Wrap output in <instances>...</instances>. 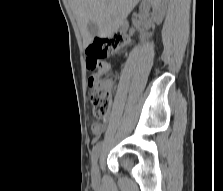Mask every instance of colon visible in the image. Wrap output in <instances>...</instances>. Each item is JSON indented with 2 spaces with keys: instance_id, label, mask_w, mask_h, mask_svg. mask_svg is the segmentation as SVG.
Instances as JSON below:
<instances>
[{
  "instance_id": "colon-1",
  "label": "colon",
  "mask_w": 223,
  "mask_h": 191,
  "mask_svg": "<svg viewBox=\"0 0 223 191\" xmlns=\"http://www.w3.org/2000/svg\"><path fill=\"white\" fill-rule=\"evenodd\" d=\"M126 43L127 38L125 36L114 35L105 40H95L86 49L87 68L97 71L89 78L88 84L91 89L90 99L93 104V114L98 119L105 118L111 106L109 82L106 78L110 75L111 69L102 59L120 50Z\"/></svg>"
}]
</instances>
